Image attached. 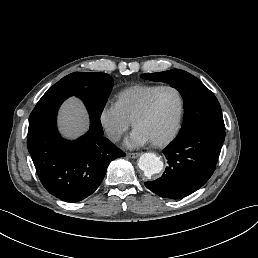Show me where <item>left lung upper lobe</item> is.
I'll use <instances>...</instances> for the list:
<instances>
[{
	"label": "left lung upper lobe",
	"mask_w": 258,
	"mask_h": 258,
	"mask_svg": "<svg viewBox=\"0 0 258 258\" xmlns=\"http://www.w3.org/2000/svg\"><path fill=\"white\" fill-rule=\"evenodd\" d=\"M142 78L161 81L176 88L184 100V121L175 139H181L205 127L225 130L220 104L215 95L195 76L172 69L164 72L142 74Z\"/></svg>",
	"instance_id": "left-lung-upper-lobe-1"
}]
</instances>
